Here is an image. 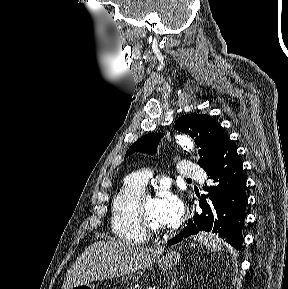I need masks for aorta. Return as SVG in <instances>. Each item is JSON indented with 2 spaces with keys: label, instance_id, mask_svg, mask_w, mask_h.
Wrapping results in <instances>:
<instances>
[{
  "label": "aorta",
  "instance_id": "1",
  "mask_svg": "<svg viewBox=\"0 0 288 289\" xmlns=\"http://www.w3.org/2000/svg\"><path fill=\"white\" fill-rule=\"evenodd\" d=\"M178 144L185 150H192L194 147L193 142L186 136H180L177 138Z\"/></svg>",
  "mask_w": 288,
  "mask_h": 289
}]
</instances>
